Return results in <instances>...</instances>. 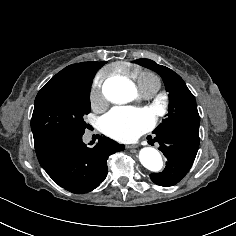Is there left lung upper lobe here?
<instances>
[{"label": "left lung upper lobe", "mask_w": 236, "mask_h": 236, "mask_svg": "<svg viewBox=\"0 0 236 236\" xmlns=\"http://www.w3.org/2000/svg\"><path fill=\"white\" fill-rule=\"evenodd\" d=\"M133 62L156 71L169 92L168 117L153 131L156 137L167 131L199 136L200 117L196 100L183 79L173 70L150 59L141 58Z\"/></svg>", "instance_id": "1"}]
</instances>
